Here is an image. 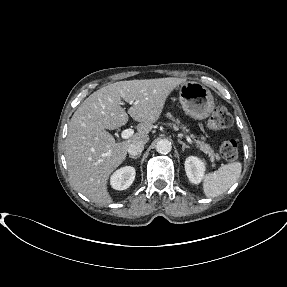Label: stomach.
Segmentation results:
<instances>
[{"instance_id":"0dacf381","label":"stomach","mask_w":287,"mask_h":287,"mask_svg":"<svg viewBox=\"0 0 287 287\" xmlns=\"http://www.w3.org/2000/svg\"><path fill=\"white\" fill-rule=\"evenodd\" d=\"M178 91L184 111L192 118L203 120L213 112L214 98L202 84L194 81L185 82L178 87Z\"/></svg>"}]
</instances>
